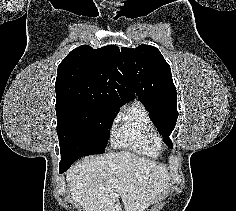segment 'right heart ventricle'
I'll return each mask as SVG.
<instances>
[{
    "label": "right heart ventricle",
    "mask_w": 236,
    "mask_h": 211,
    "mask_svg": "<svg viewBox=\"0 0 236 211\" xmlns=\"http://www.w3.org/2000/svg\"><path fill=\"white\" fill-rule=\"evenodd\" d=\"M115 147L147 158H158L161 139L144 105L135 100L121 114L112 137Z\"/></svg>",
    "instance_id": "obj_1"
}]
</instances>
